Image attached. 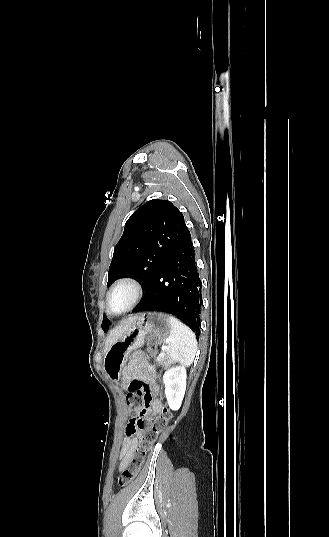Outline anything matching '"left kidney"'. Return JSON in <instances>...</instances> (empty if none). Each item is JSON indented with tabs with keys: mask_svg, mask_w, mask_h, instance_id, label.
<instances>
[{
	"mask_svg": "<svg viewBox=\"0 0 329 537\" xmlns=\"http://www.w3.org/2000/svg\"><path fill=\"white\" fill-rule=\"evenodd\" d=\"M186 378L185 366L172 367L163 375L166 399L172 410H178L181 407L186 390Z\"/></svg>",
	"mask_w": 329,
	"mask_h": 537,
	"instance_id": "1",
	"label": "left kidney"
}]
</instances>
